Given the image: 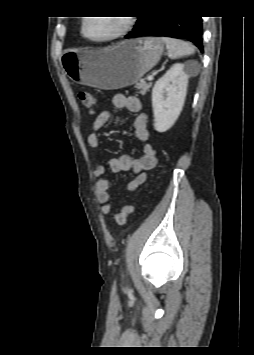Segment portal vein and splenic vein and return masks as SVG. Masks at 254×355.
Returning <instances> with one entry per match:
<instances>
[{"instance_id":"obj_1","label":"portal vein and splenic vein","mask_w":254,"mask_h":355,"mask_svg":"<svg viewBox=\"0 0 254 355\" xmlns=\"http://www.w3.org/2000/svg\"><path fill=\"white\" fill-rule=\"evenodd\" d=\"M147 79H148V80H152V79H153V75H148V76H147Z\"/></svg>"}]
</instances>
